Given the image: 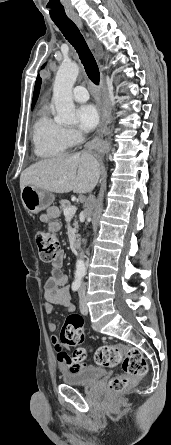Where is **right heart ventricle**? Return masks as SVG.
I'll return each instance as SVG.
<instances>
[{"label":"right heart ventricle","instance_id":"right-heart-ventricle-1","mask_svg":"<svg viewBox=\"0 0 171 445\" xmlns=\"http://www.w3.org/2000/svg\"><path fill=\"white\" fill-rule=\"evenodd\" d=\"M34 152L38 157H57L66 152L70 141L66 129L56 122L47 109H43L33 128Z\"/></svg>","mask_w":171,"mask_h":445}]
</instances>
